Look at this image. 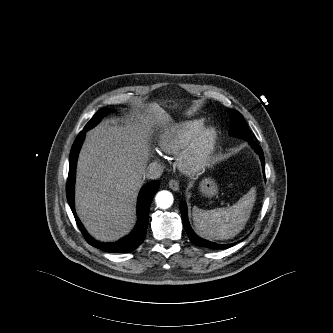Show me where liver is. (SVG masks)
<instances>
[{
    "instance_id": "6515ba94",
    "label": "liver",
    "mask_w": 333,
    "mask_h": 333,
    "mask_svg": "<svg viewBox=\"0 0 333 333\" xmlns=\"http://www.w3.org/2000/svg\"><path fill=\"white\" fill-rule=\"evenodd\" d=\"M123 123L105 122L89 131L81 150L76 180V210L88 232L100 241H115L135 222L138 192L149 160L148 134L170 116L157 103Z\"/></svg>"
}]
</instances>
